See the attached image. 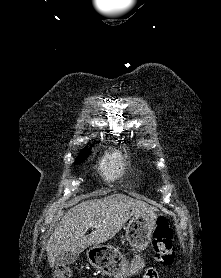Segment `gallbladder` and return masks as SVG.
<instances>
[{"label": "gallbladder", "mask_w": 221, "mask_h": 278, "mask_svg": "<svg viewBox=\"0 0 221 278\" xmlns=\"http://www.w3.org/2000/svg\"><path fill=\"white\" fill-rule=\"evenodd\" d=\"M78 258L77 253H73L70 251L61 252L55 259L56 266H67L73 264Z\"/></svg>", "instance_id": "obj_1"}]
</instances>
